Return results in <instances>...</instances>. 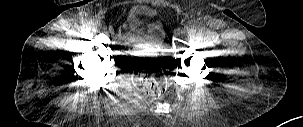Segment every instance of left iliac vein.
<instances>
[{
    "instance_id": "obj_1",
    "label": "left iliac vein",
    "mask_w": 303,
    "mask_h": 127,
    "mask_svg": "<svg viewBox=\"0 0 303 127\" xmlns=\"http://www.w3.org/2000/svg\"><path fill=\"white\" fill-rule=\"evenodd\" d=\"M185 34H186V30H183V31H182V35H185Z\"/></svg>"
}]
</instances>
